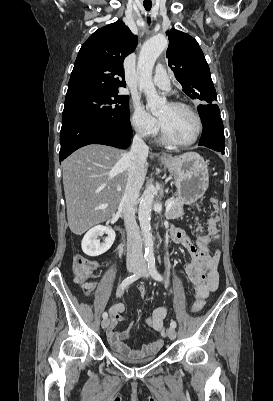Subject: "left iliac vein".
Instances as JSON below:
<instances>
[{"mask_svg": "<svg viewBox=\"0 0 273 401\" xmlns=\"http://www.w3.org/2000/svg\"><path fill=\"white\" fill-rule=\"evenodd\" d=\"M141 274L144 276V277H148V269H147V267H146V265L145 264H143V263H141ZM167 335H168V337L171 339V340H174L175 338H176V331H175V329L174 328H172V327H169L168 329H167Z\"/></svg>", "mask_w": 273, "mask_h": 401, "instance_id": "4c4485c4", "label": "left iliac vein"}]
</instances>
